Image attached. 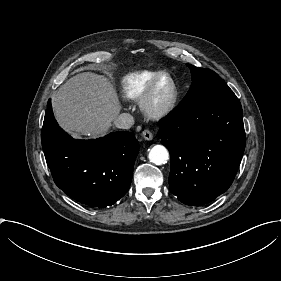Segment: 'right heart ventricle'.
<instances>
[{"label":"right heart ventricle","mask_w":281,"mask_h":281,"mask_svg":"<svg viewBox=\"0 0 281 281\" xmlns=\"http://www.w3.org/2000/svg\"><path fill=\"white\" fill-rule=\"evenodd\" d=\"M161 71H140L123 77L119 84V94L125 100L139 99L149 84Z\"/></svg>","instance_id":"1"}]
</instances>
